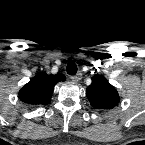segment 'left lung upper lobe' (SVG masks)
Listing matches in <instances>:
<instances>
[{"mask_svg":"<svg viewBox=\"0 0 145 145\" xmlns=\"http://www.w3.org/2000/svg\"><path fill=\"white\" fill-rule=\"evenodd\" d=\"M86 94L91 106L96 109H112L120 102L118 92L102 75L92 78Z\"/></svg>","mask_w":145,"mask_h":145,"instance_id":"obj_1","label":"left lung upper lobe"}]
</instances>
